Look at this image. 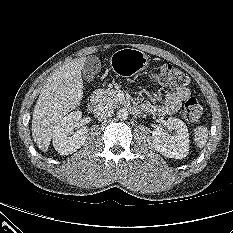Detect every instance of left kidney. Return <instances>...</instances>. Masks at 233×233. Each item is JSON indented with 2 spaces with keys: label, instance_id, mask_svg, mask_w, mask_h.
<instances>
[{
  "label": "left kidney",
  "instance_id": "obj_1",
  "mask_svg": "<svg viewBox=\"0 0 233 233\" xmlns=\"http://www.w3.org/2000/svg\"><path fill=\"white\" fill-rule=\"evenodd\" d=\"M174 134L169 135L158 126L152 132V141L155 149L168 158L182 159L189 152V133L186 124L177 118H168L165 123Z\"/></svg>",
  "mask_w": 233,
  "mask_h": 233
}]
</instances>
